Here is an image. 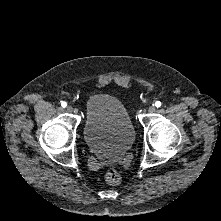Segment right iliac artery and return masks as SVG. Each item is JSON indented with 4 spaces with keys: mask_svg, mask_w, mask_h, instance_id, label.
I'll use <instances>...</instances> for the list:
<instances>
[{
    "mask_svg": "<svg viewBox=\"0 0 221 221\" xmlns=\"http://www.w3.org/2000/svg\"><path fill=\"white\" fill-rule=\"evenodd\" d=\"M61 106H62L63 108H65V107L67 106V103H66V102H62V103H61Z\"/></svg>",
    "mask_w": 221,
    "mask_h": 221,
    "instance_id": "82829eb1",
    "label": "right iliac artery"
}]
</instances>
